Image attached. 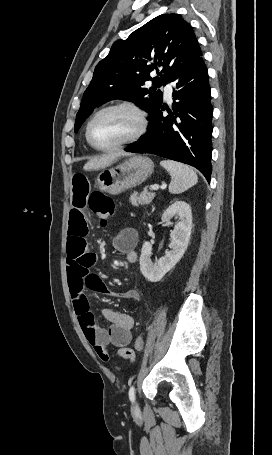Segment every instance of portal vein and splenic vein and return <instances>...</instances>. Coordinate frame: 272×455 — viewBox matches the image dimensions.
<instances>
[{"instance_id": "portal-vein-and-splenic-vein-1", "label": "portal vein and splenic vein", "mask_w": 272, "mask_h": 455, "mask_svg": "<svg viewBox=\"0 0 272 455\" xmlns=\"http://www.w3.org/2000/svg\"><path fill=\"white\" fill-rule=\"evenodd\" d=\"M152 189H153V190H158V189H159V185H153V186H152Z\"/></svg>"}]
</instances>
